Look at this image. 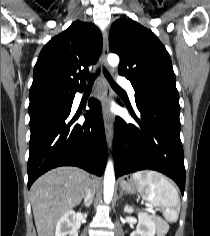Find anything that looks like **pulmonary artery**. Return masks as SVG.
I'll use <instances>...</instances> for the list:
<instances>
[{"instance_id":"1","label":"pulmonary artery","mask_w":210,"mask_h":236,"mask_svg":"<svg viewBox=\"0 0 210 236\" xmlns=\"http://www.w3.org/2000/svg\"><path fill=\"white\" fill-rule=\"evenodd\" d=\"M119 84L124 87L126 90H128L129 95H130V99L131 102L136 105V101H135V91L134 88L132 87V84L129 80H127L126 78H119Z\"/></svg>"}]
</instances>
